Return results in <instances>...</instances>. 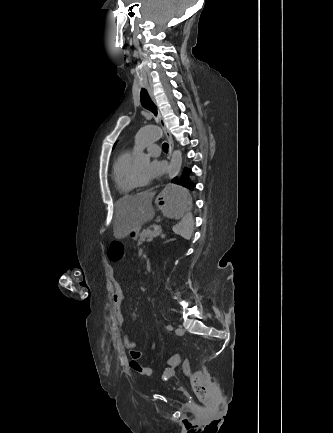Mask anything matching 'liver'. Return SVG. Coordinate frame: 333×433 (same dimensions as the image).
<instances>
[{
  "instance_id": "1",
  "label": "liver",
  "mask_w": 333,
  "mask_h": 433,
  "mask_svg": "<svg viewBox=\"0 0 333 433\" xmlns=\"http://www.w3.org/2000/svg\"><path fill=\"white\" fill-rule=\"evenodd\" d=\"M154 216L155 211L150 192L120 198L115 204L114 237L123 239L131 232H139L142 225L151 221Z\"/></svg>"
}]
</instances>
